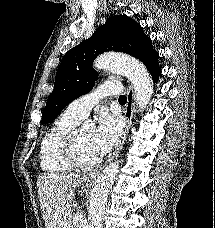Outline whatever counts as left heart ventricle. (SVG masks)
Listing matches in <instances>:
<instances>
[{
    "label": "left heart ventricle",
    "instance_id": "left-heart-ventricle-1",
    "mask_svg": "<svg viewBox=\"0 0 215 228\" xmlns=\"http://www.w3.org/2000/svg\"><path fill=\"white\" fill-rule=\"evenodd\" d=\"M93 129L81 127L77 140V154L84 162H92L100 156L93 147Z\"/></svg>",
    "mask_w": 215,
    "mask_h": 228
}]
</instances>
